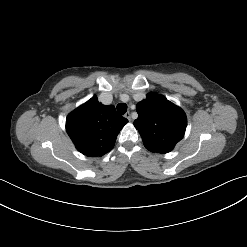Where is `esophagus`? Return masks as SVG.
I'll return each instance as SVG.
<instances>
[{
  "label": "esophagus",
  "instance_id": "34e87169",
  "mask_svg": "<svg viewBox=\"0 0 247 247\" xmlns=\"http://www.w3.org/2000/svg\"><path fill=\"white\" fill-rule=\"evenodd\" d=\"M124 117L127 118L130 121L131 120V113L130 112H126L124 114Z\"/></svg>",
  "mask_w": 247,
  "mask_h": 247
}]
</instances>
